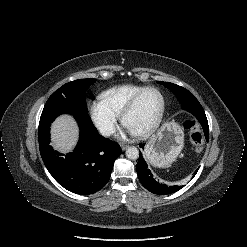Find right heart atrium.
Wrapping results in <instances>:
<instances>
[{
  "mask_svg": "<svg viewBox=\"0 0 247 247\" xmlns=\"http://www.w3.org/2000/svg\"><path fill=\"white\" fill-rule=\"evenodd\" d=\"M89 115L93 124L103 136L108 137L114 133L118 116L102 101L95 100L89 104Z\"/></svg>",
  "mask_w": 247,
  "mask_h": 247,
  "instance_id": "d8ad5b80",
  "label": "right heart atrium"
}]
</instances>
